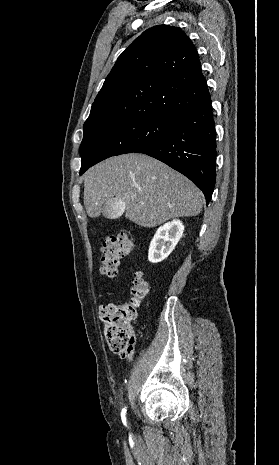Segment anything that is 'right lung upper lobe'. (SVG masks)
<instances>
[{
    "mask_svg": "<svg viewBox=\"0 0 279 465\" xmlns=\"http://www.w3.org/2000/svg\"><path fill=\"white\" fill-rule=\"evenodd\" d=\"M209 97L191 40L177 27L154 26L119 56L83 129L133 117L174 120Z\"/></svg>",
    "mask_w": 279,
    "mask_h": 465,
    "instance_id": "1",
    "label": "right lung upper lobe"
}]
</instances>
